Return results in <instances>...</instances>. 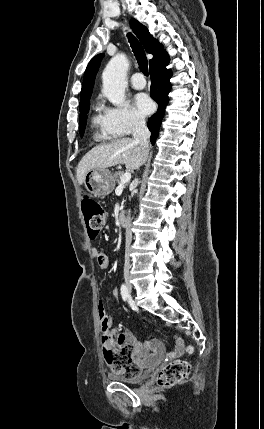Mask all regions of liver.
I'll return each instance as SVG.
<instances>
[{
    "mask_svg": "<svg viewBox=\"0 0 264 429\" xmlns=\"http://www.w3.org/2000/svg\"><path fill=\"white\" fill-rule=\"evenodd\" d=\"M148 153L144 152L131 138H122L116 141L101 144L91 149L77 167V180L81 185L88 171L106 169L117 164H125L126 168L138 169L146 160Z\"/></svg>",
    "mask_w": 264,
    "mask_h": 429,
    "instance_id": "obj_1",
    "label": "liver"
}]
</instances>
